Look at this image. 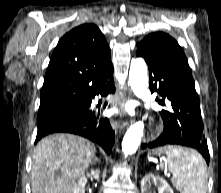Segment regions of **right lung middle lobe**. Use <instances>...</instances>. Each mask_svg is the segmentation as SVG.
I'll use <instances>...</instances> for the list:
<instances>
[{
    "label": "right lung middle lobe",
    "instance_id": "1",
    "mask_svg": "<svg viewBox=\"0 0 221 193\" xmlns=\"http://www.w3.org/2000/svg\"><path fill=\"white\" fill-rule=\"evenodd\" d=\"M86 112L85 99L64 98L41 102L37 117L38 130L69 122Z\"/></svg>",
    "mask_w": 221,
    "mask_h": 193
}]
</instances>
